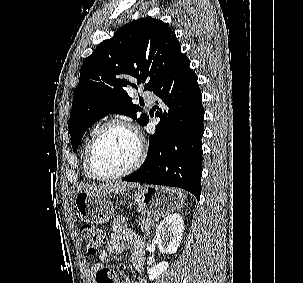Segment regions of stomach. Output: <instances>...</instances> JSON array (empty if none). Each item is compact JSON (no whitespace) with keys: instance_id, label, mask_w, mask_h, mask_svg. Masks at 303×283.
<instances>
[{"instance_id":"0dacf381","label":"stomach","mask_w":303,"mask_h":283,"mask_svg":"<svg viewBox=\"0 0 303 283\" xmlns=\"http://www.w3.org/2000/svg\"><path fill=\"white\" fill-rule=\"evenodd\" d=\"M131 190L134 192L139 212L150 218L166 216L178 211L185 203V196L175 188L145 186L134 187ZM120 200L123 204L121 197ZM74 202L77 215L83 222L102 224L114 216V206L109 194L93 196L79 192Z\"/></svg>"}]
</instances>
